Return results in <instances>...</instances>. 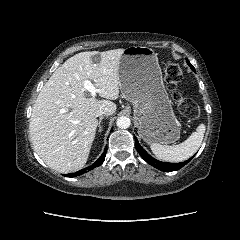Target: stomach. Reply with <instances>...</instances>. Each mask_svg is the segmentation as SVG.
Wrapping results in <instances>:
<instances>
[{
  "label": "stomach",
  "instance_id": "1",
  "mask_svg": "<svg viewBox=\"0 0 240 240\" xmlns=\"http://www.w3.org/2000/svg\"><path fill=\"white\" fill-rule=\"evenodd\" d=\"M119 80L123 97L133 104L139 136L148 144L177 141L180 123L165 90L154 50L145 46L124 49Z\"/></svg>",
  "mask_w": 240,
  "mask_h": 240
}]
</instances>
